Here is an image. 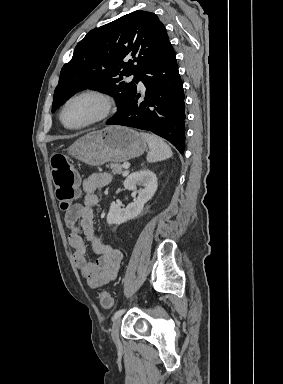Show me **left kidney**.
Here are the masks:
<instances>
[{
	"mask_svg": "<svg viewBox=\"0 0 283 384\" xmlns=\"http://www.w3.org/2000/svg\"><path fill=\"white\" fill-rule=\"evenodd\" d=\"M136 186H143V190H137ZM126 190L137 192L138 198L132 204H128L127 208H120L118 204L112 202L110 210L107 214L108 224H124L127 220H134L141 214L144 204L151 200L157 190V178L154 172L150 170H140L134 172L126 178L124 182Z\"/></svg>",
	"mask_w": 283,
	"mask_h": 384,
	"instance_id": "1",
	"label": "left kidney"
}]
</instances>
